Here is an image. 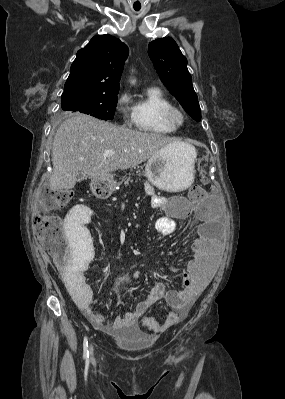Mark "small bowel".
I'll use <instances>...</instances> for the list:
<instances>
[{"instance_id": "c3829d8e", "label": "small bowel", "mask_w": 285, "mask_h": 399, "mask_svg": "<svg viewBox=\"0 0 285 399\" xmlns=\"http://www.w3.org/2000/svg\"><path fill=\"white\" fill-rule=\"evenodd\" d=\"M146 194L150 197L153 206L166 208L167 215L158 218L154 223L155 231L161 235L168 236L175 232V218H189L195 214L203 215L201 212L194 211L190 205L184 204L181 197H174L171 202L166 203L162 198L155 196L151 188L146 189ZM89 219V215L84 210H74L66 216L64 226L69 244L73 249L80 245L82 253L80 256L74 250L76 255L74 266L68 272L59 271V273L70 295L83 308L91 323L107 334H119L125 328H135L147 309L161 300H164L173 310L170 313L178 315V319L176 321L171 320L169 313L163 323L149 329L152 334H162L184 319L191 305L206 288L212 275L215 256L208 245V237L201 235L190 241L189 248L192 258L183 272L180 289L167 290L162 281H157L152 286L146 300L123 315L116 316L112 322L108 323L103 314L92 307V290L84 277V272L90 268L91 263V258H86L90 245V231L87 228Z\"/></svg>"}]
</instances>
